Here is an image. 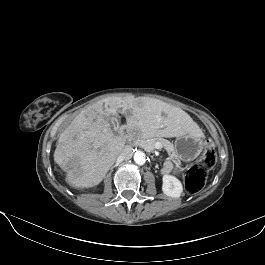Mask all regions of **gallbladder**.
<instances>
[{
	"label": "gallbladder",
	"mask_w": 265,
	"mask_h": 265,
	"mask_svg": "<svg viewBox=\"0 0 265 265\" xmlns=\"http://www.w3.org/2000/svg\"><path fill=\"white\" fill-rule=\"evenodd\" d=\"M111 121H112V126L114 129V132H117V129L119 127V116L116 115V116L112 117Z\"/></svg>",
	"instance_id": "bac80fb5"
}]
</instances>
